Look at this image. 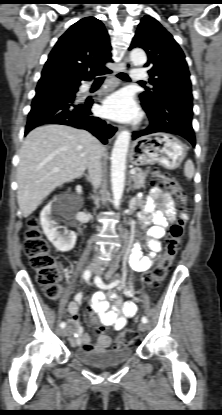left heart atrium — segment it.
<instances>
[{
    "label": "left heart atrium",
    "mask_w": 222,
    "mask_h": 415,
    "mask_svg": "<svg viewBox=\"0 0 222 415\" xmlns=\"http://www.w3.org/2000/svg\"><path fill=\"white\" fill-rule=\"evenodd\" d=\"M102 112L109 118L130 121L137 115V106L129 92L119 91L104 101Z\"/></svg>",
    "instance_id": "obj_1"
}]
</instances>
